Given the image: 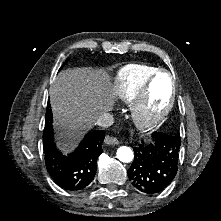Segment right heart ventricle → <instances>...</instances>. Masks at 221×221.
Returning <instances> with one entry per match:
<instances>
[{
    "label": "right heart ventricle",
    "instance_id": "obj_1",
    "mask_svg": "<svg viewBox=\"0 0 221 221\" xmlns=\"http://www.w3.org/2000/svg\"><path fill=\"white\" fill-rule=\"evenodd\" d=\"M157 70L141 64L124 66L117 74V96L126 104L133 103Z\"/></svg>",
    "mask_w": 221,
    "mask_h": 221
}]
</instances>
